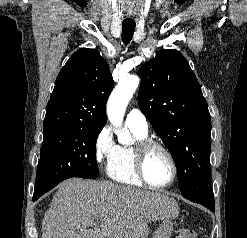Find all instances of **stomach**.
Returning <instances> with one entry per match:
<instances>
[{
    "instance_id": "0dacf381",
    "label": "stomach",
    "mask_w": 247,
    "mask_h": 238,
    "mask_svg": "<svg viewBox=\"0 0 247 238\" xmlns=\"http://www.w3.org/2000/svg\"><path fill=\"white\" fill-rule=\"evenodd\" d=\"M173 223L170 220H164L157 228L153 238H171Z\"/></svg>"
}]
</instances>
